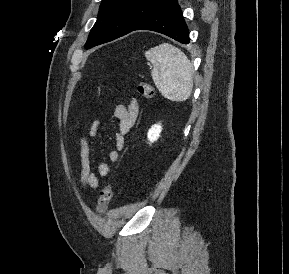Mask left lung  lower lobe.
Wrapping results in <instances>:
<instances>
[{
	"instance_id": "obj_1",
	"label": "left lung lower lobe",
	"mask_w": 289,
	"mask_h": 274,
	"mask_svg": "<svg viewBox=\"0 0 289 274\" xmlns=\"http://www.w3.org/2000/svg\"><path fill=\"white\" fill-rule=\"evenodd\" d=\"M134 30L159 32L182 44H188L190 40L188 27L177 0L165 2Z\"/></svg>"
}]
</instances>
